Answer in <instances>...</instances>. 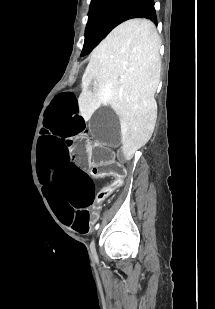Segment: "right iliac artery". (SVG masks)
<instances>
[{"instance_id": "1", "label": "right iliac artery", "mask_w": 215, "mask_h": 309, "mask_svg": "<svg viewBox=\"0 0 215 309\" xmlns=\"http://www.w3.org/2000/svg\"><path fill=\"white\" fill-rule=\"evenodd\" d=\"M99 228V224H97L96 226H95V230H97Z\"/></svg>"}]
</instances>
